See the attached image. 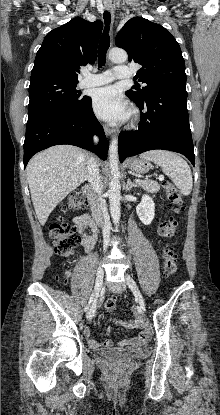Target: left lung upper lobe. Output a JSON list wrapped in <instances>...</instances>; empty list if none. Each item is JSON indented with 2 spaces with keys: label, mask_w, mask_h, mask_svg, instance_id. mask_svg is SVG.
<instances>
[{
  "label": "left lung upper lobe",
  "mask_w": 220,
  "mask_h": 415,
  "mask_svg": "<svg viewBox=\"0 0 220 415\" xmlns=\"http://www.w3.org/2000/svg\"><path fill=\"white\" fill-rule=\"evenodd\" d=\"M115 44L127 51L130 62L142 66L136 77L146 86L128 90L132 99L143 101L159 86L186 84L180 46L161 25L142 17L131 18L117 34Z\"/></svg>",
  "instance_id": "obj_1"
}]
</instances>
